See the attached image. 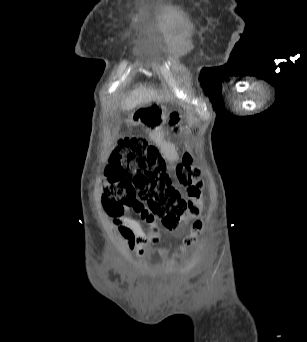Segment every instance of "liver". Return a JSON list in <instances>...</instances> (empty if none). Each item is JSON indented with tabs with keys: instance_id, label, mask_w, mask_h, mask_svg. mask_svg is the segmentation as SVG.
Returning <instances> with one entry per match:
<instances>
[{
	"instance_id": "1",
	"label": "liver",
	"mask_w": 307,
	"mask_h": 342,
	"mask_svg": "<svg viewBox=\"0 0 307 342\" xmlns=\"http://www.w3.org/2000/svg\"><path fill=\"white\" fill-rule=\"evenodd\" d=\"M164 98L161 92H157L154 88H146V86H142L140 84L139 88H135L131 94H129L128 98H124L122 102V110H134L140 104H148V102H153V100H161Z\"/></svg>"
}]
</instances>
